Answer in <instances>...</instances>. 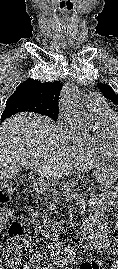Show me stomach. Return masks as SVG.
I'll list each match as a JSON object with an SVG mask.
<instances>
[{
    "label": "stomach",
    "instance_id": "obj_1",
    "mask_svg": "<svg viewBox=\"0 0 118 269\" xmlns=\"http://www.w3.org/2000/svg\"><path fill=\"white\" fill-rule=\"evenodd\" d=\"M96 182L104 189L111 190L118 179V171L109 165H100L94 171ZM118 193V187L116 188Z\"/></svg>",
    "mask_w": 118,
    "mask_h": 269
}]
</instances>
